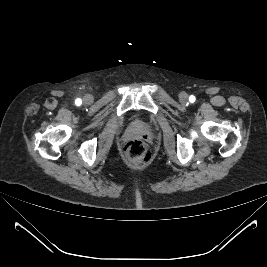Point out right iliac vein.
<instances>
[{"label":"right iliac vein","instance_id":"obj_1","mask_svg":"<svg viewBox=\"0 0 267 267\" xmlns=\"http://www.w3.org/2000/svg\"><path fill=\"white\" fill-rule=\"evenodd\" d=\"M84 102H85V103H90V102H91V97H90V96H86V97L84 98Z\"/></svg>","mask_w":267,"mask_h":267}]
</instances>
